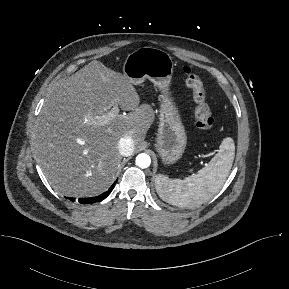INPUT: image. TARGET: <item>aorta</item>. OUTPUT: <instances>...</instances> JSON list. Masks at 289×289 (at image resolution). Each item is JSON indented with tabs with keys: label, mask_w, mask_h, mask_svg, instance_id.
Returning a JSON list of instances; mask_svg holds the SVG:
<instances>
[{
	"label": "aorta",
	"mask_w": 289,
	"mask_h": 289,
	"mask_svg": "<svg viewBox=\"0 0 289 289\" xmlns=\"http://www.w3.org/2000/svg\"><path fill=\"white\" fill-rule=\"evenodd\" d=\"M151 164V158L148 154L141 153L136 157V165L140 168H147Z\"/></svg>",
	"instance_id": "aorta-1"
}]
</instances>
